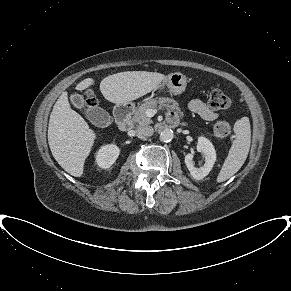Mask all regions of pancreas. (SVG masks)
I'll return each instance as SVG.
<instances>
[{
    "mask_svg": "<svg viewBox=\"0 0 291 291\" xmlns=\"http://www.w3.org/2000/svg\"><path fill=\"white\" fill-rule=\"evenodd\" d=\"M161 107L172 108L179 114L180 118L183 117V112L181 108L178 106L177 102L171 98L159 97L150 99L149 101L141 104L132 117V122L138 126H144L152 123V120L146 116V111L148 109H157ZM183 126L187 125V123L182 122Z\"/></svg>",
    "mask_w": 291,
    "mask_h": 291,
    "instance_id": "cf45deb5",
    "label": "pancreas"
}]
</instances>
